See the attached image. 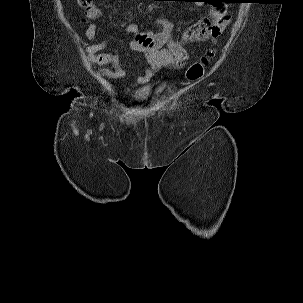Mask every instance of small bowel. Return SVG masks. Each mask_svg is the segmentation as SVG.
I'll return each mask as SVG.
<instances>
[{
    "label": "small bowel",
    "mask_w": 303,
    "mask_h": 303,
    "mask_svg": "<svg viewBox=\"0 0 303 303\" xmlns=\"http://www.w3.org/2000/svg\"><path fill=\"white\" fill-rule=\"evenodd\" d=\"M102 15L103 11L97 6L89 7L86 13L87 19L91 21L99 19ZM154 23L157 31L148 33H140L138 26L134 23L124 27V32L135 36L130 43L131 49L141 53L147 63L144 74L134 82L135 86L147 85L160 69L183 67L188 57L184 45L219 36L228 23V17L225 11L213 9L204 20L185 30L179 40L172 38L173 26L169 21L158 18ZM96 32L97 25L92 22L86 35L93 39ZM107 44V40H103L88 46L89 59L99 66V71L104 77L120 80L125 77V70L119 63L117 52H102Z\"/></svg>",
    "instance_id": "c3829d8e"
}]
</instances>
